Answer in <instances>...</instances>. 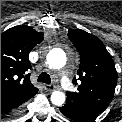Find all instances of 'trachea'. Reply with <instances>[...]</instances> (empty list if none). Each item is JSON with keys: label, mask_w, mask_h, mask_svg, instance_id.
I'll return each instance as SVG.
<instances>
[{"label": "trachea", "mask_w": 122, "mask_h": 122, "mask_svg": "<svg viewBox=\"0 0 122 122\" xmlns=\"http://www.w3.org/2000/svg\"><path fill=\"white\" fill-rule=\"evenodd\" d=\"M38 82L50 84L51 83V78H50L49 74H47L46 72H42L38 76Z\"/></svg>", "instance_id": "obj_1"}]
</instances>
